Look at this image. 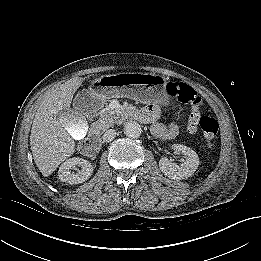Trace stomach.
<instances>
[{
  "instance_id": "stomach-1",
  "label": "stomach",
  "mask_w": 261,
  "mask_h": 261,
  "mask_svg": "<svg viewBox=\"0 0 261 261\" xmlns=\"http://www.w3.org/2000/svg\"><path fill=\"white\" fill-rule=\"evenodd\" d=\"M166 80L155 74L120 73L101 76L94 80L89 91L91 111L95 112L106 99L127 97L141 102L167 100Z\"/></svg>"
}]
</instances>
